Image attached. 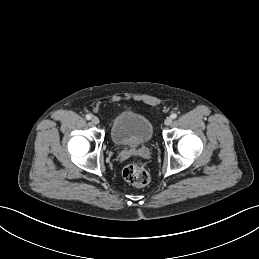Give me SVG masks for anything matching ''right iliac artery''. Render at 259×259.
Wrapping results in <instances>:
<instances>
[{"mask_svg":"<svg viewBox=\"0 0 259 259\" xmlns=\"http://www.w3.org/2000/svg\"><path fill=\"white\" fill-rule=\"evenodd\" d=\"M91 117H92V116H91L90 114H87V115H86V119H87V120H90Z\"/></svg>","mask_w":259,"mask_h":259,"instance_id":"obj_1","label":"right iliac artery"}]
</instances>
